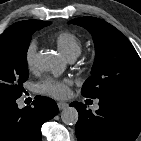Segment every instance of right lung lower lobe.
<instances>
[{
	"mask_svg": "<svg viewBox=\"0 0 141 141\" xmlns=\"http://www.w3.org/2000/svg\"><path fill=\"white\" fill-rule=\"evenodd\" d=\"M58 113L54 100L37 96L19 109L16 99L0 100V141H41V126Z\"/></svg>",
	"mask_w": 141,
	"mask_h": 141,
	"instance_id": "obj_1",
	"label": "right lung lower lobe"
}]
</instances>
